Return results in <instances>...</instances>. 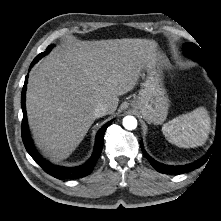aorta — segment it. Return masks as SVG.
I'll use <instances>...</instances> for the list:
<instances>
[{"label": "aorta", "mask_w": 221, "mask_h": 221, "mask_svg": "<svg viewBox=\"0 0 221 221\" xmlns=\"http://www.w3.org/2000/svg\"><path fill=\"white\" fill-rule=\"evenodd\" d=\"M123 126L127 130H134L137 127V120L134 116H126L123 118Z\"/></svg>", "instance_id": "762f6f07"}]
</instances>
